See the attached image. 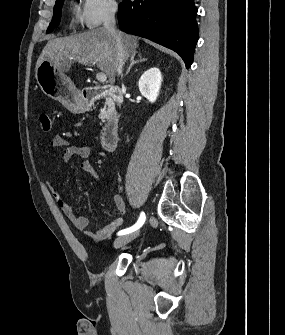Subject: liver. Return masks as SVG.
I'll use <instances>...</instances> for the list:
<instances>
[{
  "mask_svg": "<svg viewBox=\"0 0 285 335\" xmlns=\"http://www.w3.org/2000/svg\"><path fill=\"white\" fill-rule=\"evenodd\" d=\"M120 34L123 48L129 58V54H133L138 48L137 38L136 36H128L124 32H120ZM116 56L115 36L106 28H95V30H88L83 34L49 40L37 60V66L43 60H51L57 68H70L74 62H78L82 66L91 64L104 72L109 84H115Z\"/></svg>",
  "mask_w": 285,
  "mask_h": 335,
  "instance_id": "obj_1",
  "label": "liver"
}]
</instances>
